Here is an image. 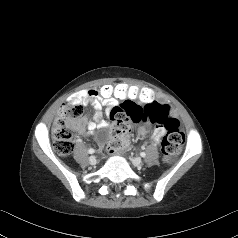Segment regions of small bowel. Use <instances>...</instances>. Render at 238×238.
Here are the masks:
<instances>
[{
	"mask_svg": "<svg viewBox=\"0 0 238 238\" xmlns=\"http://www.w3.org/2000/svg\"><path fill=\"white\" fill-rule=\"evenodd\" d=\"M98 90L99 89L82 90L75 93L73 97L70 99V101L75 103H80L82 105L90 104L93 106L94 120L91 121L87 117H84L80 126V130L81 131L86 130L89 135H92L96 128H105L108 125V123L103 119L104 108L112 109L117 106H122L125 102V100H119L116 97L112 100L104 101L99 97ZM119 101H122V103L119 104L118 103ZM161 105H165V104H161ZM173 115H174V111L172 116ZM163 133H164L163 125L161 126L156 125L151 135L152 140L156 143L159 142Z\"/></svg>",
	"mask_w": 238,
	"mask_h": 238,
	"instance_id": "obj_1",
	"label": "small bowel"
}]
</instances>
